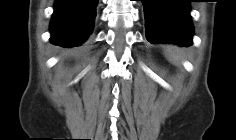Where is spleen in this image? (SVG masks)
Masks as SVG:
<instances>
[{"label": "spleen", "instance_id": "spleen-1", "mask_svg": "<svg viewBox=\"0 0 236 140\" xmlns=\"http://www.w3.org/2000/svg\"><path fill=\"white\" fill-rule=\"evenodd\" d=\"M165 56L171 63L180 66L186 57V53L183 49L177 46H168L165 50Z\"/></svg>", "mask_w": 236, "mask_h": 140}]
</instances>
